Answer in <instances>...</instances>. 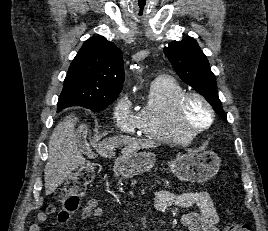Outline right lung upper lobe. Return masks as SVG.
Here are the masks:
<instances>
[{
    "instance_id": "obj_1",
    "label": "right lung upper lobe",
    "mask_w": 268,
    "mask_h": 231,
    "mask_svg": "<svg viewBox=\"0 0 268 231\" xmlns=\"http://www.w3.org/2000/svg\"><path fill=\"white\" fill-rule=\"evenodd\" d=\"M124 81L120 49L103 36L84 42L73 59L58 103H98L116 99Z\"/></svg>"
}]
</instances>
